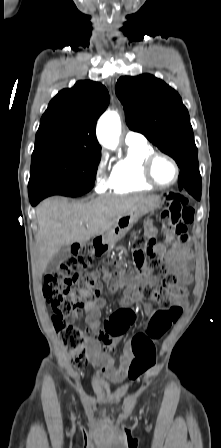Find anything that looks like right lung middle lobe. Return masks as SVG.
Returning a JSON list of instances; mask_svg holds the SVG:
<instances>
[{
    "label": "right lung middle lobe",
    "mask_w": 221,
    "mask_h": 448,
    "mask_svg": "<svg viewBox=\"0 0 221 448\" xmlns=\"http://www.w3.org/2000/svg\"><path fill=\"white\" fill-rule=\"evenodd\" d=\"M101 151L59 144L35 148L28 187L52 186L68 195H83L94 186Z\"/></svg>",
    "instance_id": "obj_1"
}]
</instances>
